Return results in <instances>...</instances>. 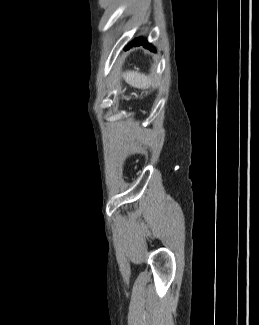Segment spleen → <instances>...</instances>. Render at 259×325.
<instances>
[{
	"instance_id": "obj_1",
	"label": "spleen",
	"mask_w": 259,
	"mask_h": 325,
	"mask_svg": "<svg viewBox=\"0 0 259 325\" xmlns=\"http://www.w3.org/2000/svg\"><path fill=\"white\" fill-rule=\"evenodd\" d=\"M123 77L129 85L138 89H147L151 85V79L138 71H128Z\"/></svg>"
}]
</instances>
